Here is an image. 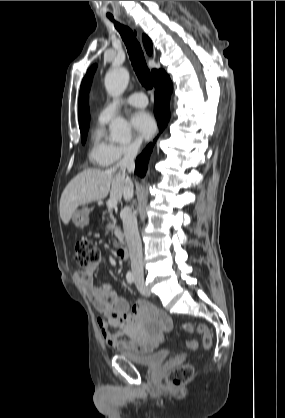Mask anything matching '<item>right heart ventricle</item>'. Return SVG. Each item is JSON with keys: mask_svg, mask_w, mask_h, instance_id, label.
<instances>
[{"mask_svg": "<svg viewBox=\"0 0 285 418\" xmlns=\"http://www.w3.org/2000/svg\"><path fill=\"white\" fill-rule=\"evenodd\" d=\"M105 123L106 121L99 119L90 134L88 158L91 164L98 167H106L110 164L112 150L115 147V144L106 136Z\"/></svg>", "mask_w": 285, "mask_h": 418, "instance_id": "e07e8e85", "label": "right heart ventricle"}]
</instances>
